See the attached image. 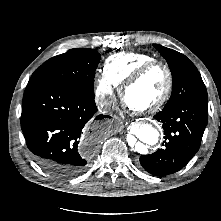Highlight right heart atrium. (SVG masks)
<instances>
[{"instance_id":"obj_1","label":"right heart atrium","mask_w":221,"mask_h":221,"mask_svg":"<svg viewBox=\"0 0 221 221\" xmlns=\"http://www.w3.org/2000/svg\"><path fill=\"white\" fill-rule=\"evenodd\" d=\"M116 87L117 85L105 73L97 77L95 95L103 107L110 105Z\"/></svg>"}]
</instances>
